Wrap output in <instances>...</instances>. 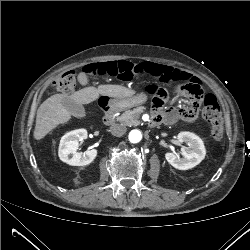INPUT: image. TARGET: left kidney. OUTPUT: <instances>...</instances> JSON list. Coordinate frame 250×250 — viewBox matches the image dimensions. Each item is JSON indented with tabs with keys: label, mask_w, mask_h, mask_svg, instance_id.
Returning a JSON list of instances; mask_svg holds the SVG:
<instances>
[{
	"label": "left kidney",
	"mask_w": 250,
	"mask_h": 250,
	"mask_svg": "<svg viewBox=\"0 0 250 250\" xmlns=\"http://www.w3.org/2000/svg\"><path fill=\"white\" fill-rule=\"evenodd\" d=\"M179 142H185L188 147L181 148V154L184 158H180L178 154L166 153L165 158L169 164L179 170H188L198 165L206 155V150L202 139L191 132H180L177 135Z\"/></svg>",
	"instance_id": "obj_1"
}]
</instances>
